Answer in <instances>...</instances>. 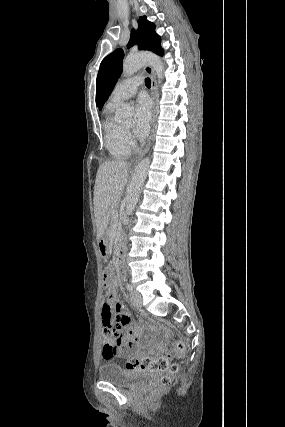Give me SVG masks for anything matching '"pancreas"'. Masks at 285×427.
<instances>
[{
    "label": "pancreas",
    "mask_w": 285,
    "mask_h": 427,
    "mask_svg": "<svg viewBox=\"0 0 285 427\" xmlns=\"http://www.w3.org/2000/svg\"><path fill=\"white\" fill-rule=\"evenodd\" d=\"M116 221H117V218H116V215L113 212L112 213V225H111V228H110V234L111 235L113 234V231H114V229L116 227Z\"/></svg>",
    "instance_id": "pancreas-1"
}]
</instances>
